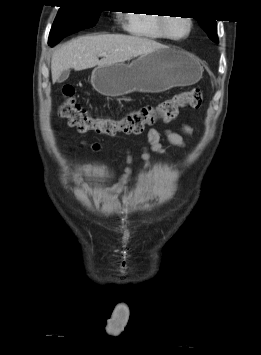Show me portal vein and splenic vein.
Masks as SVG:
<instances>
[{"instance_id": "1", "label": "portal vein and splenic vein", "mask_w": 261, "mask_h": 355, "mask_svg": "<svg viewBox=\"0 0 261 355\" xmlns=\"http://www.w3.org/2000/svg\"><path fill=\"white\" fill-rule=\"evenodd\" d=\"M101 56H106V53H102Z\"/></svg>"}]
</instances>
